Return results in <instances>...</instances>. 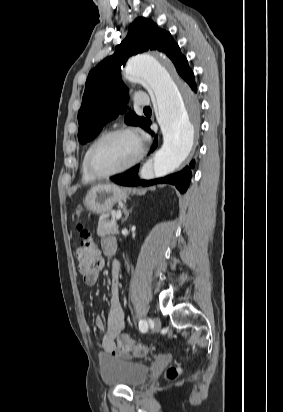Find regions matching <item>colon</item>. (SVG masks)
Returning a JSON list of instances; mask_svg holds the SVG:
<instances>
[{
	"label": "colon",
	"mask_w": 283,
	"mask_h": 412,
	"mask_svg": "<svg viewBox=\"0 0 283 412\" xmlns=\"http://www.w3.org/2000/svg\"><path fill=\"white\" fill-rule=\"evenodd\" d=\"M77 231L82 238L80 247L77 249L76 256L79 263V271L85 273L89 270L90 266L96 261L98 257L97 247L90 233L85 227L79 223L77 224ZM118 349L124 355L132 354L140 357L149 352V348L134 341L127 335H121L118 340ZM181 370L179 367L171 366L167 370V377L174 379L179 376Z\"/></svg>",
	"instance_id": "1"
}]
</instances>
